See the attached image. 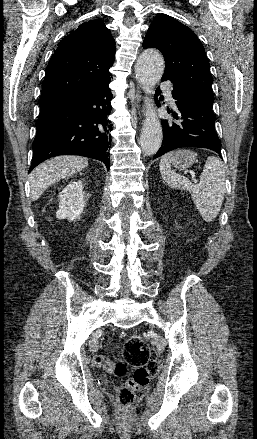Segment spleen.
<instances>
[{
	"instance_id": "3e777b00",
	"label": "spleen",
	"mask_w": 257,
	"mask_h": 439,
	"mask_svg": "<svg viewBox=\"0 0 257 439\" xmlns=\"http://www.w3.org/2000/svg\"><path fill=\"white\" fill-rule=\"evenodd\" d=\"M174 152L160 160V172L166 184L178 190L191 193L194 204L205 222H212L220 212L225 196V171L223 163L214 156L206 160L198 184H192L186 177L171 169Z\"/></svg>"
}]
</instances>
